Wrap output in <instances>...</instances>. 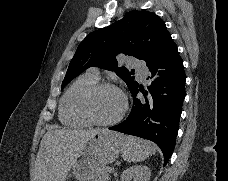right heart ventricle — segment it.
Here are the masks:
<instances>
[{
  "label": "right heart ventricle",
  "mask_w": 228,
  "mask_h": 181,
  "mask_svg": "<svg viewBox=\"0 0 228 181\" xmlns=\"http://www.w3.org/2000/svg\"><path fill=\"white\" fill-rule=\"evenodd\" d=\"M95 75H81L70 86L62 102L61 120L69 125L86 126L90 121L83 115L81 102L86 91L97 82Z\"/></svg>",
  "instance_id": "1"
}]
</instances>
